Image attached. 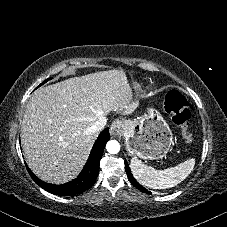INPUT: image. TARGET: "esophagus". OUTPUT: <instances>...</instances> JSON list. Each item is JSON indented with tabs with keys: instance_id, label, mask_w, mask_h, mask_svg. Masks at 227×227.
<instances>
[{
	"instance_id": "obj_1",
	"label": "esophagus",
	"mask_w": 227,
	"mask_h": 227,
	"mask_svg": "<svg viewBox=\"0 0 227 227\" xmlns=\"http://www.w3.org/2000/svg\"><path fill=\"white\" fill-rule=\"evenodd\" d=\"M123 127V122L121 120H115L112 122V124L110 125V134L112 136H117L119 134H121V129Z\"/></svg>"
}]
</instances>
